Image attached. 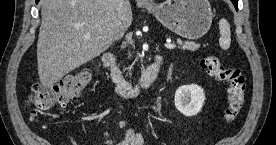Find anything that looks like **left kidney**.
Returning <instances> with one entry per match:
<instances>
[{
	"instance_id": "obj_1",
	"label": "left kidney",
	"mask_w": 276,
	"mask_h": 145,
	"mask_svg": "<svg viewBox=\"0 0 276 145\" xmlns=\"http://www.w3.org/2000/svg\"><path fill=\"white\" fill-rule=\"evenodd\" d=\"M174 101L178 111L190 117L201 111L205 94L203 89L196 84L184 85L177 89Z\"/></svg>"
}]
</instances>
